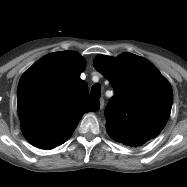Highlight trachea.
Segmentation results:
<instances>
[{
  "instance_id": "obj_1",
  "label": "trachea",
  "mask_w": 187,
  "mask_h": 187,
  "mask_svg": "<svg viewBox=\"0 0 187 187\" xmlns=\"http://www.w3.org/2000/svg\"><path fill=\"white\" fill-rule=\"evenodd\" d=\"M91 98H100L101 96V87L99 84H95L91 88Z\"/></svg>"
}]
</instances>
